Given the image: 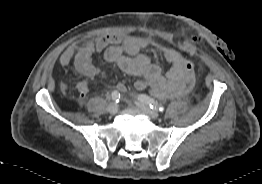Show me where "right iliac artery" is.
I'll return each instance as SVG.
<instances>
[{
  "instance_id": "obj_1",
  "label": "right iliac artery",
  "mask_w": 262,
  "mask_h": 184,
  "mask_svg": "<svg viewBox=\"0 0 262 184\" xmlns=\"http://www.w3.org/2000/svg\"><path fill=\"white\" fill-rule=\"evenodd\" d=\"M111 96H112V99H113L116 103L119 102V100H120V93H119L117 90L113 91L112 94H111Z\"/></svg>"
}]
</instances>
